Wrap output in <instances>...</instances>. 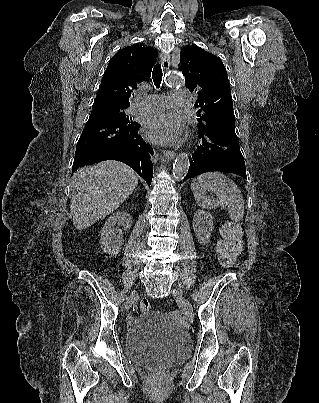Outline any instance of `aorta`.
Segmentation results:
<instances>
[{"instance_id":"aorta-1","label":"aorta","mask_w":319,"mask_h":403,"mask_svg":"<svg viewBox=\"0 0 319 403\" xmlns=\"http://www.w3.org/2000/svg\"><path fill=\"white\" fill-rule=\"evenodd\" d=\"M165 83L168 86L177 87L182 85L183 80L177 74L171 73L166 77ZM189 166L190 161L188 155L186 153H180L174 162L173 176L178 180L183 179L188 172Z\"/></svg>"}]
</instances>
